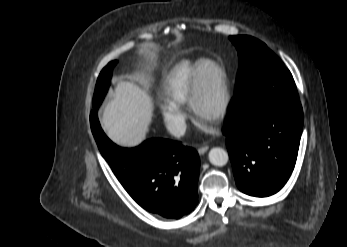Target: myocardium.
Segmentation results:
<instances>
[{
  "label": "myocardium",
  "instance_id": "myocardium-1",
  "mask_svg": "<svg viewBox=\"0 0 347 247\" xmlns=\"http://www.w3.org/2000/svg\"><path fill=\"white\" fill-rule=\"evenodd\" d=\"M209 68L215 74L216 83L220 92V101L219 104L214 111V113L205 118L202 110V96L205 88L206 74L205 69ZM189 105L193 114L203 120H207L210 122H219L221 121L225 115L227 114L230 102L231 95L229 89V82L227 78V74L225 70L215 62L207 61L206 67L200 68L196 73L194 80L192 82L190 92H189Z\"/></svg>",
  "mask_w": 347,
  "mask_h": 247
}]
</instances>
